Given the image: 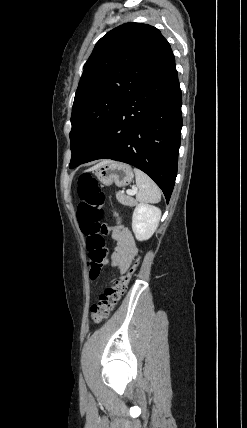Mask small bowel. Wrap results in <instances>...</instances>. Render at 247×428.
I'll use <instances>...</instances> for the list:
<instances>
[{"instance_id":"1","label":"small bowel","mask_w":247,"mask_h":428,"mask_svg":"<svg viewBox=\"0 0 247 428\" xmlns=\"http://www.w3.org/2000/svg\"><path fill=\"white\" fill-rule=\"evenodd\" d=\"M111 235L116 241L111 264L122 274L128 270L137 254L136 242L131 231L120 225L111 229Z\"/></svg>"}]
</instances>
